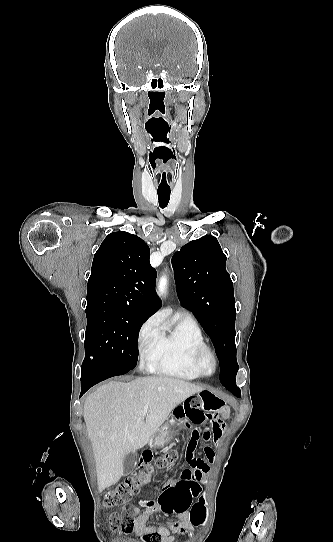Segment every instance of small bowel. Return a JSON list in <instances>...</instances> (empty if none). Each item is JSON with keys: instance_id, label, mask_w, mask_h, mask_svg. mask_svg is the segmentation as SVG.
Returning <instances> with one entry per match:
<instances>
[{"instance_id": "small-bowel-1", "label": "small bowel", "mask_w": 333, "mask_h": 542, "mask_svg": "<svg viewBox=\"0 0 333 542\" xmlns=\"http://www.w3.org/2000/svg\"><path fill=\"white\" fill-rule=\"evenodd\" d=\"M173 412L176 416V422L185 423L193 427L191 435L186 443V458L194 467V470H186L181 476L193 484L195 480L201 477L202 471L206 469L203 462L194 458V453L199 444L202 443L206 456L210 460L213 459L215 445L222 437L224 411L222 409H212L210 414L206 416L205 412L199 408L197 400H184L182 405L174 408ZM143 451L144 454L141 462L146 463L152 459V452L147 447L144 448ZM177 481L170 480L166 483L159 496V500L160 497L166 495L168 497H183L185 494H190L193 487L190 488V491L188 489L186 492L177 490L175 488ZM130 512L134 518L137 531L144 534H156L159 536L160 542H174V534L188 531L192 529L193 526L199 525L205 521V512L199 504L193 507L190 514L188 509H183L182 516L179 514L175 516L177 519L182 517L184 521H171L158 526L147 525V522L153 514L163 512L159 503L153 500H139V506L133 507Z\"/></svg>"}]
</instances>
